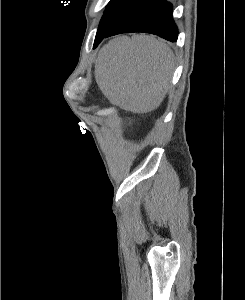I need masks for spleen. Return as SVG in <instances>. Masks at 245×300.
Returning a JSON list of instances; mask_svg holds the SVG:
<instances>
[{
    "label": "spleen",
    "instance_id": "obj_1",
    "mask_svg": "<svg viewBox=\"0 0 245 300\" xmlns=\"http://www.w3.org/2000/svg\"><path fill=\"white\" fill-rule=\"evenodd\" d=\"M173 63L174 55L162 41L143 35L118 37L100 50L95 79L112 104L146 113L165 97Z\"/></svg>",
    "mask_w": 245,
    "mask_h": 300
}]
</instances>
